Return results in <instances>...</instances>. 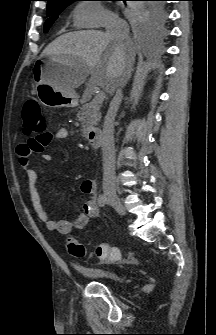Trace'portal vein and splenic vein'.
Returning a JSON list of instances; mask_svg holds the SVG:
<instances>
[{"mask_svg": "<svg viewBox=\"0 0 216 335\" xmlns=\"http://www.w3.org/2000/svg\"><path fill=\"white\" fill-rule=\"evenodd\" d=\"M105 99V92L101 91L99 93H97V95L94 97L93 99V103L97 104V103H101L103 102Z\"/></svg>", "mask_w": 216, "mask_h": 335, "instance_id": "obj_1", "label": "portal vein and splenic vein"}]
</instances>
